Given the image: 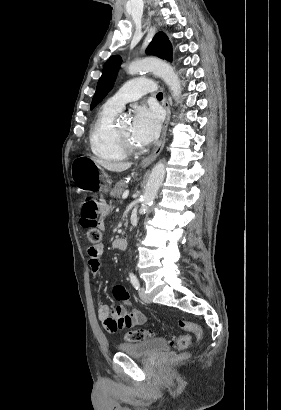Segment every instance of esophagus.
<instances>
[{"instance_id":"34e87169","label":"esophagus","mask_w":281,"mask_h":410,"mask_svg":"<svg viewBox=\"0 0 281 410\" xmlns=\"http://www.w3.org/2000/svg\"><path fill=\"white\" fill-rule=\"evenodd\" d=\"M163 105L166 111V119L163 125V130H162L160 141L157 147L155 148V150L149 156H147L141 161L142 167H148L153 161H155L165 145L167 128H168L170 116H171L170 105L166 97H164Z\"/></svg>"}]
</instances>
